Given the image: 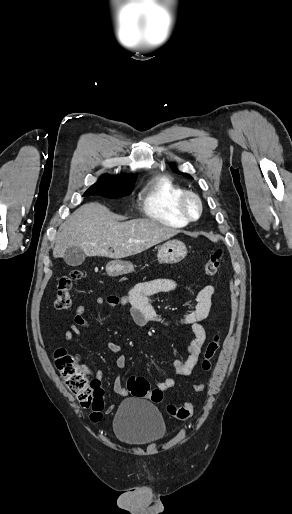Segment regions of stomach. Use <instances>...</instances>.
I'll return each instance as SVG.
<instances>
[{"label":"stomach","instance_id":"obj_1","mask_svg":"<svg viewBox=\"0 0 292 514\" xmlns=\"http://www.w3.org/2000/svg\"><path fill=\"white\" fill-rule=\"evenodd\" d=\"M187 256V248L183 242L179 240H169L163 246H160L157 258L161 264H177ZM134 266L131 262H123V260H113L106 264V272L108 276H122V274H130L133 272Z\"/></svg>","mask_w":292,"mask_h":514}]
</instances>
